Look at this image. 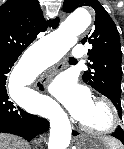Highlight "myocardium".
<instances>
[{"label":"myocardium","instance_id":"f54148a6","mask_svg":"<svg viewBox=\"0 0 124 149\" xmlns=\"http://www.w3.org/2000/svg\"><path fill=\"white\" fill-rule=\"evenodd\" d=\"M94 101L102 103L107 107L109 111V115H110V123L106 128L97 130L80 122L79 125L81 129L84 132L94 135V136H106V135L112 134L118 128L119 123H120V113L118 111V108L112 102V100H110L108 97H105V96H98L94 99Z\"/></svg>","mask_w":124,"mask_h":149}]
</instances>
